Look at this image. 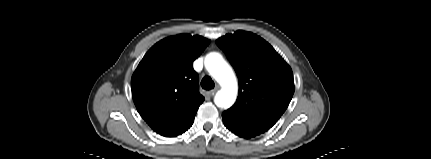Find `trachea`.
Returning <instances> with one entry per match:
<instances>
[{
    "mask_svg": "<svg viewBox=\"0 0 431 159\" xmlns=\"http://www.w3.org/2000/svg\"><path fill=\"white\" fill-rule=\"evenodd\" d=\"M215 86L213 80L209 76H205L201 81V87L205 90H211Z\"/></svg>",
    "mask_w": 431,
    "mask_h": 159,
    "instance_id": "3493384b",
    "label": "trachea"
}]
</instances>
